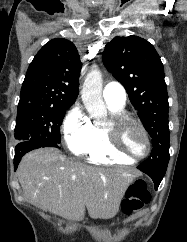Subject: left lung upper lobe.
Returning <instances> with one entry per match:
<instances>
[{
  "mask_svg": "<svg viewBox=\"0 0 187 242\" xmlns=\"http://www.w3.org/2000/svg\"><path fill=\"white\" fill-rule=\"evenodd\" d=\"M103 63L126 89L153 149L141 167L166 171L169 162L168 94L154 46L138 36L116 37L105 46Z\"/></svg>",
  "mask_w": 187,
  "mask_h": 242,
  "instance_id": "obj_1",
  "label": "left lung upper lobe"
}]
</instances>
